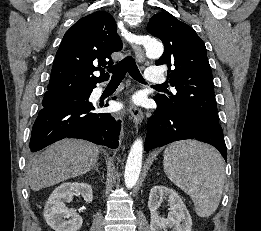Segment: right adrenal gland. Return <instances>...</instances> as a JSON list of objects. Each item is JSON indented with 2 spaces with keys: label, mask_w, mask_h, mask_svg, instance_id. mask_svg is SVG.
<instances>
[{
  "label": "right adrenal gland",
  "mask_w": 261,
  "mask_h": 231,
  "mask_svg": "<svg viewBox=\"0 0 261 231\" xmlns=\"http://www.w3.org/2000/svg\"><path fill=\"white\" fill-rule=\"evenodd\" d=\"M93 170H95L96 172H99L98 170V163L94 165V167L92 168Z\"/></svg>",
  "instance_id": "1"
}]
</instances>
